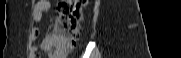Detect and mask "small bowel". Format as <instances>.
Listing matches in <instances>:
<instances>
[{
  "label": "small bowel",
  "mask_w": 181,
  "mask_h": 58,
  "mask_svg": "<svg viewBox=\"0 0 181 58\" xmlns=\"http://www.w3.org/2000/svg\"><path fill=\"white\" fill-rule=\"evenodd\" d=\"M52 7V3L50 1H47V0H40L38 2H36L35 6H34V10H33V17H34V20L36 22H40L42 20V17H43V14L45 12H47L48 10H50ZM39 29L38 28H35L34 31H33V35L34 37H38L39 35ZM48 38L49 37H46L41 45H40V48L44 51H48L49 48H48ZM38 49L36 47H33L32 48V54L34 56L38 55L37 53Z\"/></svg>",
  "instance_id": "c3829d8e"
}]
</instances>
